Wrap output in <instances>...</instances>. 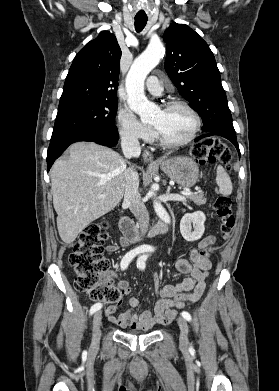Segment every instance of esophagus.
<instances>
[{
  "instance_id": "esophagus-1",
  "label": "esophagus",
  "mask_w": 279,
  "mask_h": 391,
  "mask_svg": "<svg viewBox=\"0 0 279 391\" xmlns=\"http://www.w3.org/2000/svg\"><path fill=\"white\" fill-rule=\"evenodd\" d=\"M142 158L146 162H155L153 155L149 151H144L142 154Z\"/></svg>"
}]
</instances>
